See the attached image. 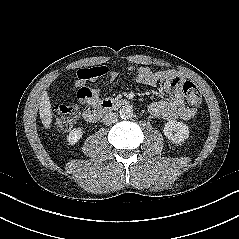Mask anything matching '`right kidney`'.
Returning <instances> with one entry per match:
<instances>
[{"instance_id": "obj_1", "label": "right kidney", "mask_w": 239, "mask_h": 239, "mask_svg": "<svg viewBox=\"0 0 239 239\" xmlns=\"http://www.w3.org/2000/svg\"><path fill=\"white\" fill-rule=\"evenodd\" d=\"M83 135V130L80 128L73 129L67 136V141L70 145L76 144Z\"/></svg>"}]
</instances>
